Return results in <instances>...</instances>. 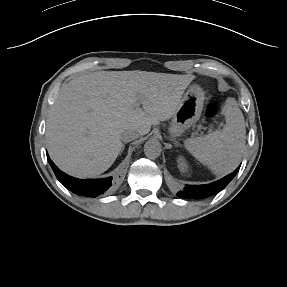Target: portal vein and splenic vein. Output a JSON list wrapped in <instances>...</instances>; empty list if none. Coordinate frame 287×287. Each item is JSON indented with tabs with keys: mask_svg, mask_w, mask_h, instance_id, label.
Masks as SVG:
<instances>
[{
	"mask_svg": "<svg viewBox=\"0 0 287 287\" xmlns=\"http://www.w3.org/2000/svg\"><path fill=\"white\" fill-rule=\"evenodd\" d=\"M135 112L136 113H142V110L139 107H136ZM199 128H203V127L199 126Z\"/></svg>",
	"mask_w": 287,
	"mask_h": 287,
	"instance_id": "1",
	"label": "portal vein and splenic vein"
}]
</instances>
